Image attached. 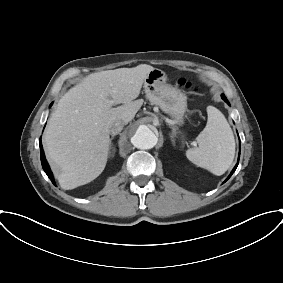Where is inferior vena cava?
<instances>
[{
    "mask_svg": "<svg viewBox=\"0 0 283 283\" xmlns=\"http://www.w3.org/2000/svg\"><path fill=\"white\" fill-rule=\"evenodd\" d=\"M124 125H125V122H123L121 120L116 121L110 127V130H109L110 134L111 135H117L119 132L122 131Z\"/></svg>",
    "mask_w": 283,
    "mask_h": 283,
    "instance_id": "obj_1",
    "label": "inferior vena cava"
}]
</instances>
